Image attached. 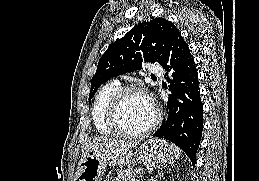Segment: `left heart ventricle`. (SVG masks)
I'll return each instance as SVG.
<instances>
[{
    "label": "left heart ventricle",
    "mask_w": 259,
    "mask_h": 181,
    "mask_svg": "<svg viewBox=\"0 0 259 181\" xmlns=\"http://www.w3.org/2000/svg\"><path fill=\"white\" fill-rule=\"evenodd\" d=\"M155 110L145 97L133 94L128 96L120 111L121 125L130 131H138L148 126L154 119Z\"/></svg>",
    "instance_id": "left-heart-ventricle-1"
}]
</instances>
